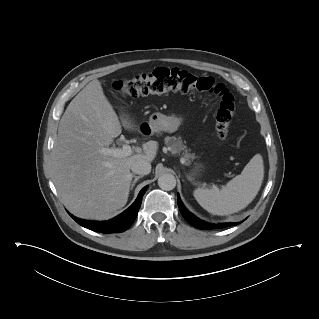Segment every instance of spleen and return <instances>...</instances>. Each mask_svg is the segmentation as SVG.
<instances>
[{
  "mask_svg": "<svg viewBox=\"0 0 319 319\" xmlns=\"http://www.w3.org/2000/svg\"><path fill=\"white\" fill-rule=\"evenodd\" d=\"M264 177L263 159L256 154L244 167L240 175L235 176L222 189L197 188L194 197L209 213L229 215L247 207L256 197Z\"/></svg>",
  "mask_w": 319,
  "mask_h": 319,
  "instance_id": "spleen-1",
  "label": "spleen"
}]
</instances>
